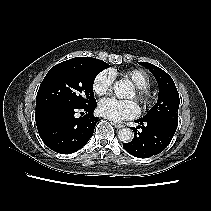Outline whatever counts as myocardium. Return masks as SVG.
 Wrapping results in <instances>:
<instances>
[{
    "mask_svg": "<svg viewBox=\"0 0 211 211\" xmlns=\"http://www.w3.org/2000/svg\"><path fill=\"white\" fill-rule=\"evenodd\" d=\"M135 97L144 109L150 108L154 103V95L148 88L136 87Z\"/></svg>",
    "mask_w": 211,
    "mask_h": 211,
    "instance_id": "1",
    "label": "myocardium"
}]
</instances>
